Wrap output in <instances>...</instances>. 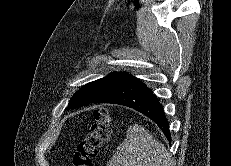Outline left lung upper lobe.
Segmentation results:
<instances>
[{"mask_svg":"<svg viewBox=\"0 0 231 166\" xmlns=\"http://www.w3.org/2000/svg\"><path fill=\"white\" fill-rule=\"evenodd\" d=\"M131 78H133V76L126 72H113L101 79L87 83L73 95L68 104V108L75 109L88 105Z\"/></svg>","mask_w":231,"mask_h":166,"instance_id":"left-lung-upper-lobe-1","label":"left lung upper lobe"}]
</instances>
